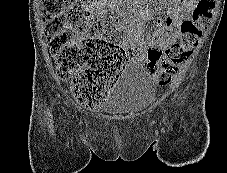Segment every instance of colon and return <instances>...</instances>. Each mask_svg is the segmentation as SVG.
<instances>
[{
	"label": "colon",
	"instance_id": "colon-1",
	"mask_svg": "<svg viewBox=\"0 0 227 173\" xmlns=\"http://www.w3.org/2000/svg\"><path fill=\"white\" fill-rule=\"evenodd\" d=\"M41 9L57 74L70 81L78 102L98 106L128 61V54L107 39L113 20L97 19L76 0H41ZM214 9L215 0H199L192 18L181 23L174 43L164 49H148L145 67L160 84L169 83L178 66L191 56ZM138 51L133 48L129 54Z\"/></svg>",
	"mask_w": 227,
	"mask_h": 173
}]
</instances>
